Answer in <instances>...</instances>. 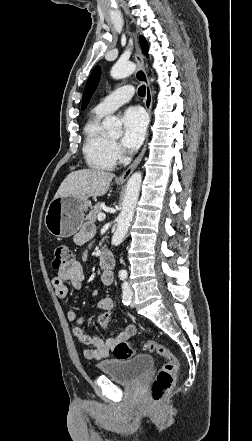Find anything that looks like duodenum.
I'll return each instance as SVG.
<instances>
[{"instance_id": "duodenum-1", "label": "duodenum", "mask_w": 252, "mask_h": 441, "mask_svg": "<svg viewBox=\"0 0 252 441\" xmlns=\"http://www.w3.org/2000/svg\"><path fill=\"white\" fill-rule=\"evenodd\" d=\"M99 264L105 272H111L115 265L113 255L106 249L101 250L99 254Z\"/></svg>"}]
</instances>
